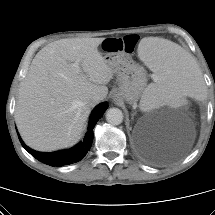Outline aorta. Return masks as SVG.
Returning <instances> with one entry per match:
<instances>
[{
    "label": "aorta",
    "mask_w": 215,
    "mask_h": 215,
    "mask_svg": "<svg viewBox=\"0 0 215 215\" xmlns=\"http://www.w3.org/2000/svg\"><path fill=\"white\" fill-rule=\"evenodd\" d=\"M123 113L118 108H110L106 112V120L111 125H119L123 122Z\"/></svg>",
    "instance_id": "aorta-1"
}]
</instances>
